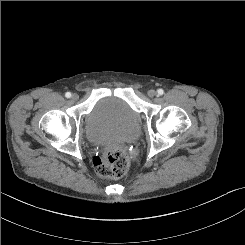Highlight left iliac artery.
<instances>
[{"mask_svg": "<svg viewBox=\"0 0 245 245\" xmlns=\"http://www.w3.org/2000/svg\"><path fill=\"white\" fill-rule=\"evenodd\" d=\"M157 93H158V95H163L164 94V90L163 89H158Z\"/></svg>", "mask_w": 245, "mask_h": 245, "instance_id": "obj_1", "label": "left iliac artery"}]
</instances>
